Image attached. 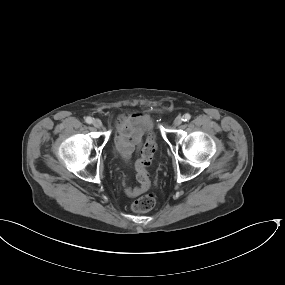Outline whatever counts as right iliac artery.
Segmentation results:
<instances>
[{
  "mask_svg": "<svg viewBox=\"0 0 285 285\" xmlns=\"http://www.w3.org/2000/svg\"><path fill=\"white\" fill-rule=\"evenodd\" d=\"M85 121H86V123H88V124H91V123L93 122L92 118L89 117V116L85 118Z\"/></svg>",
  "mask_w": 285,
  "mask_h": 285,
  "instance_id": "82829eb1",
  "label": "right iliac artery"
}]
</instances>
